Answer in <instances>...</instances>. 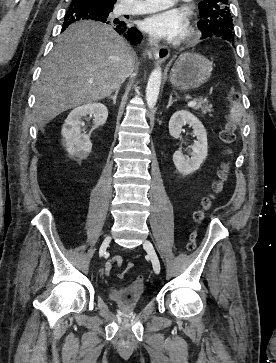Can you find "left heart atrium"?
Listing matches in <instances>:
<instances>
[{"label": "left heart atrium", "mask_w": 276, "mask_h": 363, "mask_svg": "<svg viewBox=\"0 0 276 363\" xmlns=\"http://www.w3.org/2000/svg\"><path fill=\"white\" fill-rule=\"evenodd\" d=\"M144 28L156 37L173 41L186 34L188 20L183 14L169 10L146 18Z\"/></svg>", "instance_id": "39dd6f15"}]
</instances>
